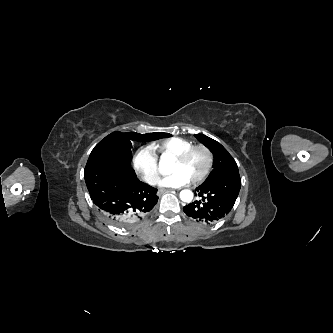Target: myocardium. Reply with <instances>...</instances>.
Instances as JSON below:
<instances>
[{"mask_svg":"<svg viewBox=\"0 0 333 333\" xmlns=\"http://www.w3.org/2000/svg\"><path fill=\"white\" fill-rule=\"evenodd\" d=\"M196 150H201L206 154L207 164L204 171L197 178L191 181L193 184H199L203 182L210 174L214 164V154L211 149L203 144H197L185 149L174 158V161L178 163H183L184 161H186L189 155Z\"/></svg>","mask_w":333,"mask_h":333,"instance_id":"1","label":"myocardium"}]
</instances>
